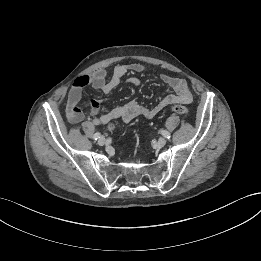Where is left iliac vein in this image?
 I'll return each mask as SVG.
<instances>
[{"label":"left iliac vein","instance_id":"1","mask_svg":"<svg viewBox=\"0 0 261 261\" xmlns=\"http://www.w3.org/2000/svg\"><path fill=\"white\" fill-rule=\"evenodd\" d=\"M157 144L159 147H163L166 144V140L164 138H159Z\"/></svg>","mask_w":261,"mask_h":261}]
</instances>
